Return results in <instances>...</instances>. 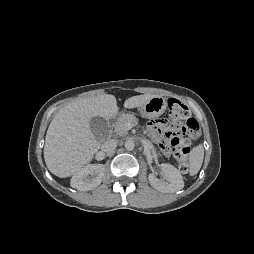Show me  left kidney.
<instances>
[{"instance_id":"left-kidney-1","label":"left kidney","mask_w":254,"mask_h":254,"mask_svg":"<svg viewBox=\"0 0 254 254\" xmlns=\"http://www.w3.org/2000/svg\"><path fill=\"white\" fill-rule=\"evenodd\" d=\"M161 171L167 181L160 180L155 174H149L148 179L151 186L163 193L176 192L184 187L183 177L180 172L171 164H161Z\"/></svg>"}]
</instances>
